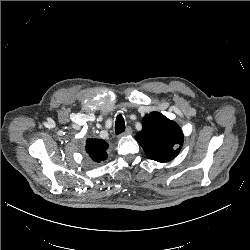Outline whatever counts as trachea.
<instances>
[{
  "label": "trachea",
  "mask_w": 250,
  "mask_h": 250,
  "mask_svg": "<svg viewBox=\"0 0 250 250\" xmlns=\"http://www.w3.org/2000/svg\"><path fill=\"white\" fill-rule=\"evenodd\" d=\"M125 131V121L121 114H119L116 118L115 122V133L116 135L121 134Z\"/></svg>",
  "instance_id": "trachea-1"
}]
</instances>
